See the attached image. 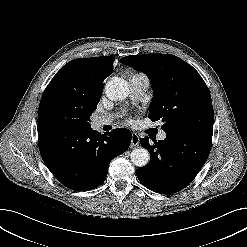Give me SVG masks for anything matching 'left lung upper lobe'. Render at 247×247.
<instances>
[{"mask_svg":"<svg viewBox=\"0 0 247 247\" xmlns=\"http://www.w3.org/2000/svg\"><path fill=\"white\" fill-rule=\"evenodd\" d=\"M121 63L148 75L154 96L149 107L152 121L162 120L167 134L212 137L214 112L210 92L199 73L171 54L125 56Z\"/></svg>","mask_w":247,"mask_h":247,"instance_id":"obj_1","label":"left lung upper lobe"}]
</instances>
